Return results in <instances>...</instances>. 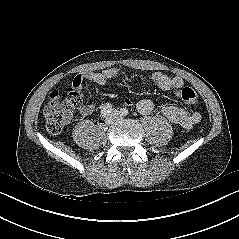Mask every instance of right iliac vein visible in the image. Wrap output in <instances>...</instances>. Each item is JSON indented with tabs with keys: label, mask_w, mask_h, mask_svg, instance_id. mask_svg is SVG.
Wrapping results in <instances>:
<instances>
[{
	"label": "right iliac vein",
	"mask_w": 239,
	"mask_h": 239,
	"mask_svg": "<svg viewBox=\"0 0 239 239\" xmlns=\"http://www.w3.org/2000/svg\"><path fill=\"white\" fill-rule=\"evenodd\" d=\"M105 122H106V124L111 125L115 122V117L112 114H110V115L106 116Z\"/></svg>",
	"instance_id": "63e3f726"
}]
</instances>
